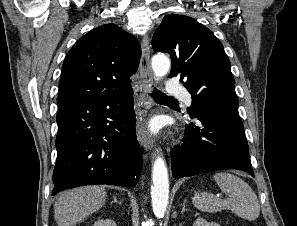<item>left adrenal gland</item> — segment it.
<instances>
[{
	"mask_svg": "<svg viewBox=\"0 0 297 226\" xmlns=\"http://www.w3.org/2000/svg\"><path fill=\"white\" fill-rule=\"evenodd\" d=\"M185 205H186V199H184L183 201L181 213H184L185 211H187V209L185 208Z\"/></svg>",
	"mask_w": 297,
	"mask_h": 226,
	"instance_id": "obj_1",
	"label": "left adrenal gland"
}]
</instances>
